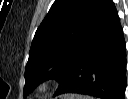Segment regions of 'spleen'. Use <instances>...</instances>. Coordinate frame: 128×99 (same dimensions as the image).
Masks as SVG:
<instances>
[{"mask_svg":"<svg viewBox=\"0 0 128 99\" xmlns=\"http://www.w3.org/2000/svg\"><path fill=\"white\" fill-rule=\"evenodd\" d=\"M79 99H90L89 97H86V96H80L78 97Z\"/></svg>","mask_w":128,"mask_h":99,"instance_id":"1","label":"spleen"}]
</instances>
